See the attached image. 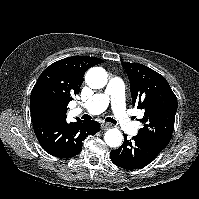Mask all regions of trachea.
I'll list each match as a JSON object with an SVG mask.
<instances>
[{
  "label": "trachea",
  "mask_w": 199,
  "mask_h": 199,
  "mask_svg": "<svg viewBox=\"0 0 199 199\" xmlns=\"http://www.w3.org/2000/svg\"><path fill=\"white\" fill-rule=\"evenodd\" d=\"M83 117H84V119L91 118L89 115H86V114H85ZM106 121H107V122H110V123H113V124H116V123H117V122H116L113 118H111V117H107V118H106Z\"/></svg>",
  "instance_id": "3493384b"
}]
</instances>
